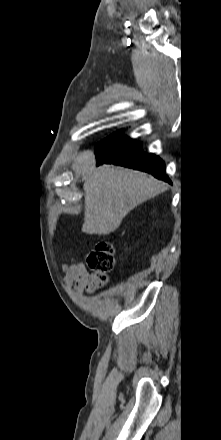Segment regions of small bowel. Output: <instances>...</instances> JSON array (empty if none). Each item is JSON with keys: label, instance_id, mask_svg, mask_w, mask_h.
<instances>
[{"label": "small bowel", "instance_id": "c3829d8e", "mask_svg": "<svg viewBox=\"0 0 221 440\" xmlns=\"http://www.w3.org/2000/svg\"><path fill=\"white\" fill-rule=\"evenodd\" d=\"M64 272L65 287H74L79 295L87 291L91 295H95L102 288V283L91 272L87 270L82 262L71 259L62 265Z\"/></svg>", "mask_w": 221, "mask_h": 440}]
</instances>
